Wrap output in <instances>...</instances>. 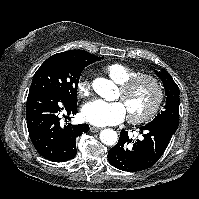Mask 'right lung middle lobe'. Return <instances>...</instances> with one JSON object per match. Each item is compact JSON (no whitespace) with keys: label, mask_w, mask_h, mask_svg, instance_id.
<instances>
[{"label":"right lung middle lobe","mask_w":199,"mask_h":199,"mask_svg":"<svg viewBox=\"0 0 199 199\" xmlns=\"http://www.w3.org/2000/svg\"><path fill=\"white\" fill-rule=\"evenodd\" d=\"M101 57L76 60L59 54L49 57L34 74L31 90L50 89L71 103H77V85L82 70Z\"/></svg>","instance_id":"obj_1"}]
</instances>
